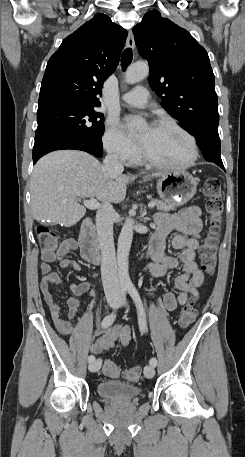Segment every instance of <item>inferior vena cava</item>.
I'll return each mask as SVG.
<instances>
[{
	"label": "inferior vena cava",
	"instance_id": "inferior-vena-cava-1",
	"mask_svg": "<svg viewBox=\"0 0 245 457\" xmlns=\"http://www.w3.org/2000/svg\"><path fill=\"white\" fill-rule=\"evenodd\" d=\"M107 178H114L124 170L123 164L119 162L117 154H107L104 158L102 168ZM116 212L110 202H103L96 214V229L101 249L102 265L101 277L107 297H118L120 291L115 247L113 239V218Z\"/></svg>",
	"mask_w": 245,
	"mask_h": 457
}]
</instances>
